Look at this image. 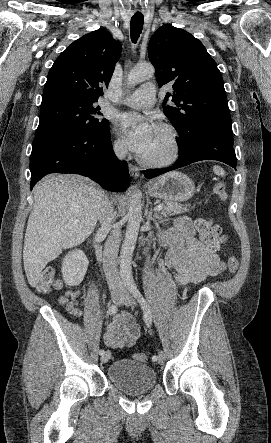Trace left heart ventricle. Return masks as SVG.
<instances>
[{
	"label": "left heart ventricle",
	"mask_w": 271,
	"mask_h": 443,
	"mask_svg": "<svg viewBox=\"0 0 271 443\" xmlns=\"http://www.w3.org/2000/svg\"><path fill=\"white\" fill-rule=\"evenodd\" d=\"M169 151L170 141L168 136L163 131L155 127L150 147L144 156L149 158H158L167 155Z\"/></svg>",
	"instance_id": "b2bd125f"
}]
</instances>
